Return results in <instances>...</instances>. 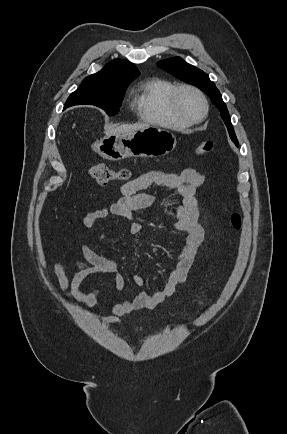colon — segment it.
<instances>
[{
  "instance_id": "1",
  "label": "colon",
  "mask_w": 287,
  "mask_h": 434,
  "mask_svg": "<svg viewBox=\"0 0 287 434\" xmlns=\"http://www.w3.org/2000/svg\"><path fill=\"white\" fill-rule=\"evenodd\" d=\"M214 145L210 141L199 144L196 149L198 155L210 154ZM90 176L99 184L106 185L111 181L125 182L130 178V170L127 168H111L104 164H97L89 168ZM231 225L238 230L241 227V216L239 213H233L230 218Z\"/></svg>"
}]
</instances>
